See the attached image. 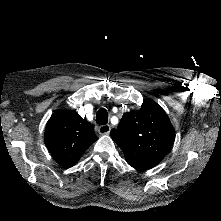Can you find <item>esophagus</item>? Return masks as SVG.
<instances>
[{
  "instance_id": "1",
  "label": "esophagus",
  "mask_w": 221,
  "mask_h": 221,
  "mask_svg": "<svg viewBox=\"0 0 221 221\" xmlns=\"http://www.w3.org/2000/svg\"><path fill=\"white\" fill-rule=\"evenodd\" d=\"M111 131V126L109 124L101 125L98 127V133L101 135H107Z\"/></svg>"
}]
</instances>
